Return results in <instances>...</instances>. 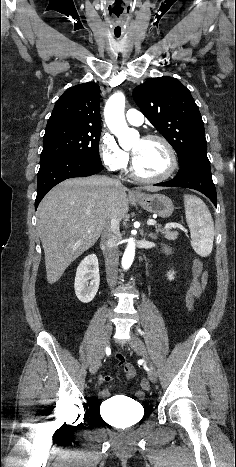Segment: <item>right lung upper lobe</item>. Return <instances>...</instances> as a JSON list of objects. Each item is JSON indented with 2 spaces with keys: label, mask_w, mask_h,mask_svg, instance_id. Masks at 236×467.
Segmentation results:
<instances>
[{
  "label": "right lung upper lobe",
  "mask_w": 236,
  "mask_h": 467,
  "mask_svg": "<svg viewBox=\"0 0 236 467\" xmlns=\"http://www.w3.org/2000/svg\"><path fill=\"white\" fill-rule=\"evenodd\" d=\"M100 88L88 82L67 89L57 100L46 128L67 125L101 128Z\"/></svg>",
  "instance_id": "obj_1"
}]
</instances>
